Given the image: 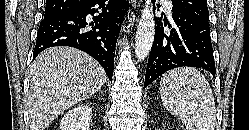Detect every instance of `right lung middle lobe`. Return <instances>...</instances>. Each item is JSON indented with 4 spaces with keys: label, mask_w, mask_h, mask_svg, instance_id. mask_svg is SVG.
<instances>
[{
    "label": "right lung middle lobe",
    "mask_w": 249,
    "mask_h": 130,
    "mask_svg": "<svg viewBox=\"0 0 249 130\" xmlns=\"http://www.w3.org/2000/svg\"><path fill=\"white\" fill-rule=\"evenodd\" d=\"M58 15H60V14L45 13L44 18H51V17H55V16H58Z\"/></svg>",
    "instance_id": "dd1d6c3e"
}]
</instances>
